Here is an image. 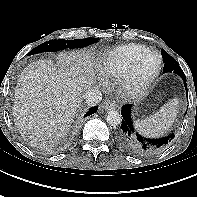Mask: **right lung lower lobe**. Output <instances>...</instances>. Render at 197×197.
<instances>
[{
    "label": "right lung lower lobe",
    "mask_w": 197,
    "mask_h": 197,
    "mask_svg": "<svg viewBox=\"0 0 197 197\" xmlns=\"http://www.w3.org/2000/svg\"><path fill=\"white\" fill-rule=\"evenodd\" d=\"M97 109H98L97 106H96V107H91V108L89 109V111L86 113L85 117H86V116H89V115H91V114H93V113H95V112L97 111Z\"/></svg>",
    "instance_id": "98d812e1"
}]
</instances>
